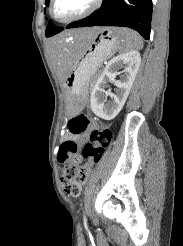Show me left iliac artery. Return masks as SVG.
<instances>
[{
    "label": "left iliac artery",
    "mask_w": 183,
    "mask_h": 246,
    "mask_svg": "<svg viewBox=\"0 0 183 246\" xmlns=\"http://www.w3.org/2000/svg\"><path fill=\"white\" fill-rule=\"evenodd\" d=\"M84 224H85V226H86V218L84 217Z\"/></svg>",
    "instance_id": "obj_1"
}]
</instances>
